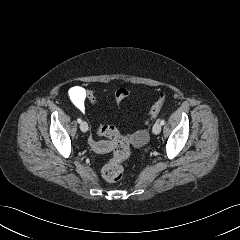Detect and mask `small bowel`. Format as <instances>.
<instances>
[{
	"label": "small bowel",
	"mask_w": 240,
	"mask_h": 240,
	"mask_svg": "<svg viewBox=\"0 0 240 240\" xmlns=\"http://www.w3.org/2000/svg\"><path fill=\"white\" fill-rule=\"evenodd\" d=\"M69 98L74 106L80 110L84 111L85 109V100H86V90L81 86H74L69 90ZM142 137L143 142L146 140V133L145 132H138L134 135V138ZM142 142V143H143ZM140 143V144H142ZM90 146L99 153H105L111 150L113 147V143L110 141H97L93 138L89 139ZM138 144V145H140Z\"/></svg>",
	"instance_id": "obj_1"
}]
</instances>
